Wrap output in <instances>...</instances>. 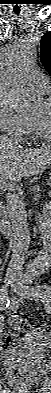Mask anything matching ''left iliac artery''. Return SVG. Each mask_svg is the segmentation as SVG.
Wrapping results in <instances>:
<instances>
[{"label":"left iliac artery","mask_w":51,"mask_h":393,"mask_svg":"<svg viewBox=\"0 0 51 393\" xmlns=\"http://www.w3.org/2000/svg\"><path fill=\"white\" fill-rule=\"evenodd\" d=\"M35 279V274H30L25 277L24 280V288L26 294L29 296H37L42 298L45 303H46V308L48 309V312H51V287L48 285H42L38 286L36 288L29 287L28 284L32 283L33 280Z\"/></svg>","instance_id":"left-iliac-artery-1"}]
</instances>
